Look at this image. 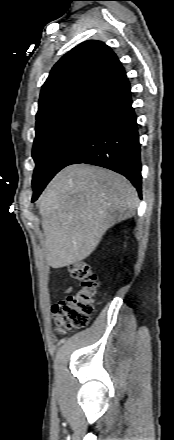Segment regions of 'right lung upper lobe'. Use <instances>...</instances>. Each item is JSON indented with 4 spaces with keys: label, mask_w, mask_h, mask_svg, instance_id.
I'll use <instances>...</instances> for the list:
<instances>
[{
    "label": "right lung upper lobe",
    "mask_w": 174,
    "mask_h": 440,
    "mask_svg": "<svg viewBox=\"0 0 174 440\" xmlns=\"http://www.w3.org/2000/svg\"><path fill=\"white\" fill-rule=\"evenodd\" d=\"M126 76L116 54L101 41H85L52 68L41 89L37 121L83 96L97 95Z\"/></svg>",
    "instance_id": "right-lung-upper-lobe-1"
}]
</instances>
